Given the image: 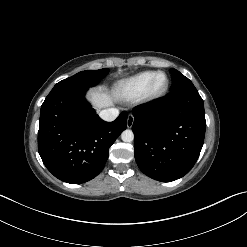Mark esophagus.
Wrapping results in <instances>:
<instances>
[{
	"label": "esophagus",
	"mask_w": 247,
	"mask_h": 247,
	"mask_svg": "<svg viewBox=\"0 0 247 247\" xmlns=\"http://www.w3.org/2000/svg\"><path fill=\"white\" fill-rule=\"evenodd\" d=\"M133 123H134V116L129 114L128 118H127V127L128 128H131L133 126Z\"/></svg>",
	"instance_id": "34e87169"
}]
</instances>
